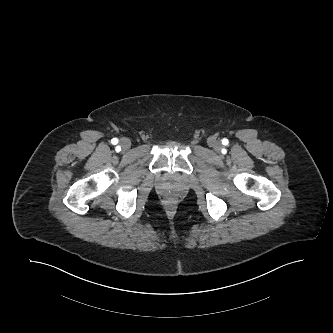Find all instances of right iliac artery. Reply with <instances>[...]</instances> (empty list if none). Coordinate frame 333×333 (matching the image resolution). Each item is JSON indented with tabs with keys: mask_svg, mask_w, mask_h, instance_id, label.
Segmentation results:
<instances>
[{
	"mask_svg": "<svg viewBox=\"0 0 333 333\" xmlns=\"http://www.w3.org/2000/svg\"><path fill=\"white\" fill-rule=\"evenodd\" d=\"M111 142H112V144H117V143H118V139H117V138H113V139L111 140Z\"/></svg>",
	"mask_w": 333,
	"mask_h": 333,
	"instance_id": "right-iliac-artery-1",
	"label": "right iliac artery"
}]
</instances>
